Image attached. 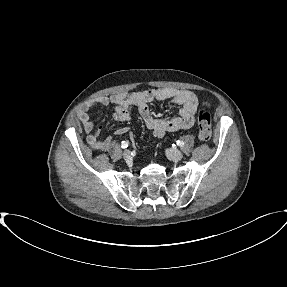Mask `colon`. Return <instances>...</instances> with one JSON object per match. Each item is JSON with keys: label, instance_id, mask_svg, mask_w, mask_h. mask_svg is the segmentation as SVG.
<instances>
[{"label": "colon", "instance_id": "obj_1", "mask_svg": "<svg viewBox=\"0 0 287 287\" xmlns=\"http://www.w3.org/2000/svg\"><path fill=\"white\" fill-rule=\"evenodd\" d=\"M211 115L209 112L202 108L198 112V136L202 141H209L211 139Z\"/></svg>", "mask_w": 287, "mask_h": 287}]
</instances>
